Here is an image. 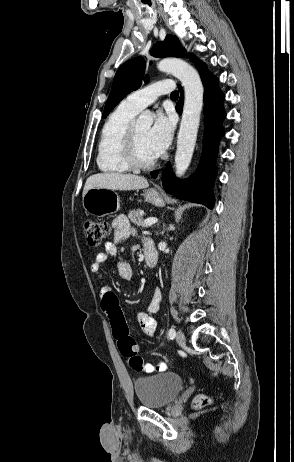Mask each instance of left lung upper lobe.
<instances>
[{"label": "left lung upper lobe", "instance_id": "5c2ea615", "mask_svg": "<svg viewBox=\"0 0 294 462\" xmlns=\"http://www.w3.org/2000/svg\"><path fill=\"white\" fill-rule=\"evenodd\" d=\"M150 52L154 57H179L180 55H185V49H181L178 38L172 35H167L163 42H158L154 45ZM190 59L195 62L196 67L201 64V61L197 62V58L192 54L190 55ZM145 67L146 63L143 57L133 58L120 66L115 74L112 89L105 104L103 117H106L127 94L133 90H137L143 80L145 82L148 81V76H145Z\"/></svg>", "mask_w": 294, "mask_h": 462}]
</instances>
